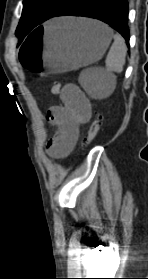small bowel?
Masks as SVG:
<instances>
[{
	"mask_svg": "<svg viewBox=\"0 0 148 279\" xmlns=\"http://www.w3.org/2000/svg\"><path fill=\"white\" fill-rule=\"evenodd\" d=\"M61 99L63 105L53 106L47 112L48 121L57 128L47 144V152L56 159L65 158L73 151L80 125L87 123L92 114L88 98L73 84L63 88Z\"/></svg>",
	"mask_w": 148,
	"mask_h": 279,
	"instance_id": "small-bowel-1",
	"label": "small bowel"
}]
</instances>
